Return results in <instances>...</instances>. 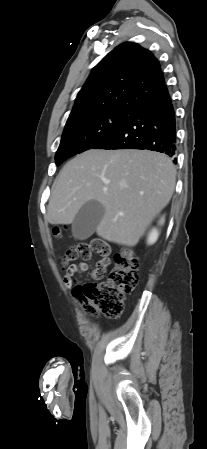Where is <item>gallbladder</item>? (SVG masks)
<instances>
[{"instance_id": "obj_1", "label": "gallbladder", "mask_w": 207, "mask_h": 449, "mask_svg": "<svg viewBox=\"0 0 207 449\" xmlns=\"http://www.w3.org/2000/svg\"><path fill=\"white\" fill-rule=\"evenodd\" d=\"M105 214L104 206L98 201L86 202L76 214L72 223L73 236L78 240L88 239Z\"/></svg>"}]
</instances>
